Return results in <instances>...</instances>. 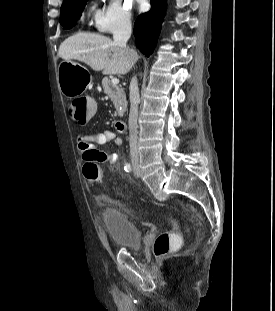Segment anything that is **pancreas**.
<instances>
[{"instance_id":"1","label":"pancreas","mask_w":275,"mask_h":311,"mask_svg":"<svg viewBox=\"0 0 275 311\" xmlns=\"http://www.w3.org/2000/svg\"><path fill=\"white\" fill-rule=\"evenodd\" d=\"M104 93L107 94L116 109L115 115L123 116L127 109V100L124 89L112 84L111 80L105 77L102 80Z\"/></svg>"}]
</instances>
